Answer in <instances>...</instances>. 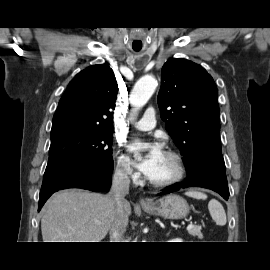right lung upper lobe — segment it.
<instances>
[{"label":"right lung upper lobe","mask_w":270,"mask_h":270,"mask_svg":"<svg viewBox=\"0 0 270 270\" xmlns=\"http://www.w3.org/2000/svg\"><path fill=\"white\" fill-rule=\"evenodd\" d=\"M118 85L108 64L93 65L69 83L59 101L52 128L76 125L113 129L112 119Z\"/></svg>","instance_id":"cb5924a9"}]
</instances>
